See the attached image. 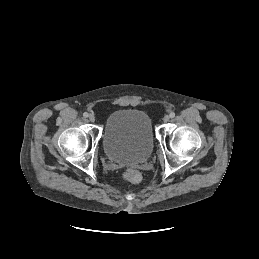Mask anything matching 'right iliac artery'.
<instances>
[{
	"mask_svg": "<svg viewBox=\"0 0 259 259\" xmlns=\"http://www.w3.org/2000/svg\"><path fill=\"white\" fill-rule=\"evenodd\" d=\"M83 116H84L85 118H87V117L89 116V114H88L87 112H84V113H83Z\"/></svg>",
	"mask_w": 259,
	"mask_h": 259,
	"instance_id": "obj_1",
	"label": "right iliac artery"
}]
</instances>
